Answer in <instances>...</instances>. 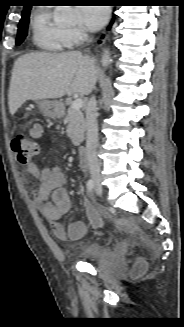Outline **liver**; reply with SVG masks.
I'll return each mask as SVG.
<instances>
[{
	"mask_svg": "<svg viewBox=\"0 0 184 327\" xmlns=\"http://www.w3.org/2000/svg\"><path fill=\"white\" fill-rule=\"evenodd\" d=\"M96 80L94 59L80 51L22 55L13 66L8 94L10 114L14 115L27 100L88 95Z\"/></svg>",
	"mask_w": 184,
	"mask_h": 327,
	"instance_id": "1",
	"label": "liver"
}]
</instances>
